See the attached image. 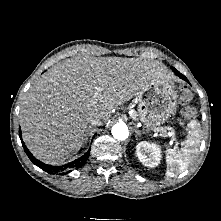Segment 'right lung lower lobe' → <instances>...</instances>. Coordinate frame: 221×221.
I'll return each mask as SVG.
<instances>
[{"label": "right lung lower lobe", "mask_w": 221, "mask_h": 221, "mask_svg": "<svg viewBox=\"0 0 221 221\" xmlns=\"http://www.w3.org/2000/svg\"><path fill=\"white\" fill-rule=\"evenodd\" d=\"M19 137L21 139L24 151L26 152L27 156L29 157V159L39 168H41L42 170L46 171L47 173L50 174H59V175H64L67 174L69 172H71L72 170L76 169V168H80L84 165V163L86 162V160L89 157L90 151H87L83 156H81L79 159H76L66 165L63 166H51L48 164H45L39 160H37L32 153L28 150V148L25 146L23 140H22V135H21V130L19 129Z\"/></svg>", "instance_id": "98d812e1"}]
</instances>
